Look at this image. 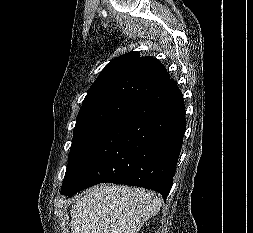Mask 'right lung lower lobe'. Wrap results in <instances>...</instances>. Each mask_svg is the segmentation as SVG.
I'll return each instance as SVG.
<instances>
[{"label":"right lung lower lobe","instance_id":"right-lung-lower-lobe-1","mask_svg":"<svg viewBox=\"0 0 253 233\" xmlns=\"http://www.w3.org/2000/svg\"><path fill=\"white\" fill-rule=\"evenodd\" d=\"M185 128L184 100L169 78L135 101L64 179L61 194L71 197L95 184L111 182L155 190L166 200Z\"/></svg>","mask_w":253,"mask_h":233}]
</instances>
